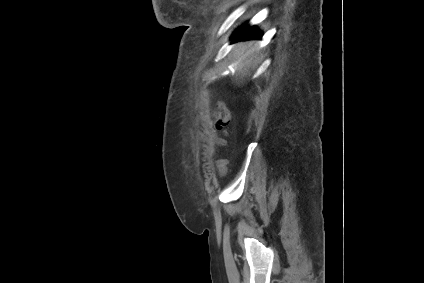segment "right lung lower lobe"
<instances>
[{
	"label": "right lung lower lobe",
	"mask_w": 424,
	"mask_h": 283,
	"mask_svg": "<svg viewBox=\"0 0 424 283\" xmlns=\"http://www.w3.org/2000/svg\"><path fill=\"white\" fill-rule=\"evenodd\" d=\"M261 32L258 31L257 27H248L247 25H244L242 27H239L236 32L233 34L232 38L235 42L240 39H251V38H261Z\"/></svg>",
	"instance_id": "1"
}]
</instances>
